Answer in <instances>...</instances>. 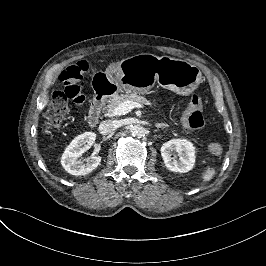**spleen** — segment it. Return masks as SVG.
Masks as SVG:
<instances>
[{
	"instance_id": "spleen-1",
	"label": "spleen",
	"mask_w": 266,
	"mask_h": 266,
	"mask_svg": "<svg viewBox=\"0 0 266 266\" xmlns=\"http://www.w3.org/2000/svg\"><path fill=\"white\" fill-rule=\"evenodd\" d=\"M218 170L216 167L214 166H206L200 174V178H199V184L200 185H204L207 184L208 182H210L215 175L217 174Z\"/></svg>"
}]
</instances>
